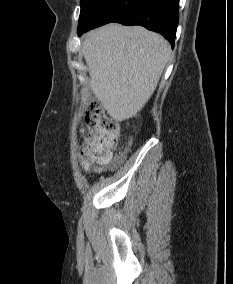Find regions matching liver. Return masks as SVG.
I'll list each match as a JSON object with an SVG mask.
<instances>
[{
	"mask_svg": "<svg viewBox=\"0 0 233 284\" xmlns=\"http://www.w3.org/2000/svg\"><path fill=\"white\" fill-rule=\"evenodd\" d=\"M82 52L90 88L118 122L132 118L154 93L171 47L141 26L108 24L85 35Z\"/></svg>",
	"mask_w": 233,
	"mask_h": 284,
	"instance_id": "liver-1",
	"label": "liver"
}]
</instances>
